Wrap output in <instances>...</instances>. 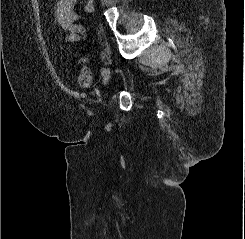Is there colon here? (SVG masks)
Returning <instances> with one entry per match:
<instances>
[{
  "instance_id": "obj_1",
  "label": "colon",
  "mask_w": 245,
  "mask_h": 239,
  "mask_svg": "<svg viewBox=\"0 0 245 239\" xmlns=\"http://www.w3.org/2000/svg\"><path fill=\"white\" fill-rule=\"evenodd\" d=\"M80 71L77 77L78 84L83 88H88L93 82L92 73L87 63V58L81 56L79 59Z\"/></svg>"
}]
</instances>
